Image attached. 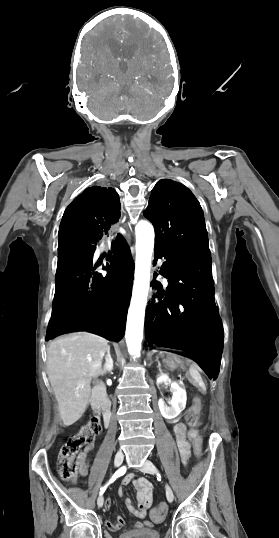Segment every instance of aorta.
<instances>
[{
    "instance_id": "aorta-1",
    "label": "aorta",
    "mask_w": 279,
    "mask_h": 538,
    "mask_svg": "<svg viewBox=\"0 0 279 538\" xmlns=\"http://www.w3.org/2000/svg\"><path fill=\"white\" fill-rule=\"evenodd\" d=\"M136 232L135 278L126 323L128 352L140 356L147 297L150 287L151 258L154 250V228L147 221H139Z\"/></svg>"
}]
</instances>
